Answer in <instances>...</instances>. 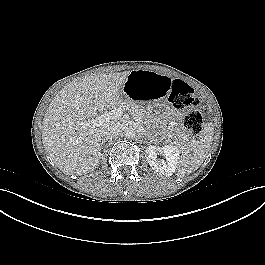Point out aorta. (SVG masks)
Masks as SVG:
<instances>
[{"instance_id":"aorta-1","label":"aorta","mask_w":265,"mask_h":265,"mask_svg":"<svg viewBox=\"0 0 265 265\" xmlns=\"http://www.w3.org/2000/svg\"><path fill=\"white\" fill-rule=\"evenodd\" d=\"M135 128L131 125L129 126H126L124 128V135L127 137V138H133L135 136Z\"/></svg>"}]
</instances>
